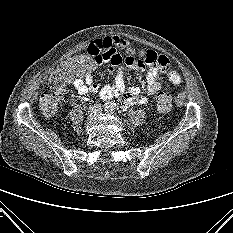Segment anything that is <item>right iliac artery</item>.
Returning <instances> with one entry per match:
<instances>
[{
	"label": "right iliac artery",
	"instance_id": "obj_1",
	"mask_svg": "<svg viewBox=\"0 0 233 233\" xmlns=\"http://www.w3.org/2000/svg\"><path fill=\"white\" fill-rule=\"evenodd\" d=\"M110 106L108 105V106H106V108H109Z\"/></svg>",
	"mask_w": 233,
	"mask_h": 233
}]
</instances>
